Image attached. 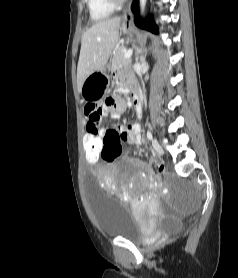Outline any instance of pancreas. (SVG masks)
Wrapping results in <instances>:
<instances>
[{"label": "pancreas", "instance_id": "cf45deb5", "mask_svg": "<svg viewBox=\"0 0 238 278\" xmlns=\"http://www.w3.org/2000/svg\"><path fill=\"white\" fill-rule=\"evenodd\" d=\"M125 53L126 50L123 46L117 48L114 53H113V57H112V66L111 69L112 70H118L120 68H122L124 65L128 64L131 62V59H125Z\"/></svg>", "mask_w": 238, "mask_h": 278}]
</instances>
